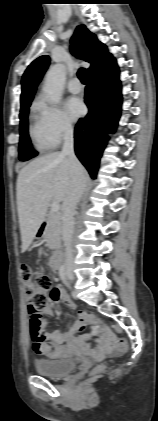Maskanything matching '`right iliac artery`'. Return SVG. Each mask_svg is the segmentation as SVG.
Instances as JSON below:
<instances>
[{"instance_id":"1","label":"right iliac artery","mask_w":158,"mask_h":421,"mask_svg":"<svg viewBox=\"0 0 158 421\" xmlns=\"http://www.w3.org/2000/svg\"><path fill=\"white\" fill-rule=\"evenodd\" d=\"M59 276H60V278H61L62 282H63L66 286H68V287H69V283H68V281H67V279H66V267H65L64 265H62V266L59 268Z\"/></svg>"}]
</instances>
